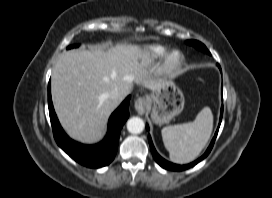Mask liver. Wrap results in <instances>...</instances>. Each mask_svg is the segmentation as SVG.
Listing matches in <instances>:
<instances>
[{
  "label": "liver",
  "mask_w": 272,
  "mask_h": 198,
  "mask_svg": "<svg viewBox=\"0 0 272 198\" xmlns=\"http://www.w3.org/2000/svg\"><path fill=\"white\" fill-rule=\"evenodd\" d=\"M150 54L139 45L92 46L71 50L57 60L52 73V98L67 134L82 143L99 141L110 114L131 91L133 83L155 90L162 81L149 77ZM115 88L126 91L113 100Z\"/></svg>",
  "instance_id": "liver-1"
}]
</instances>
